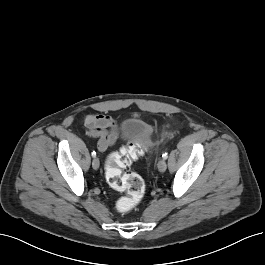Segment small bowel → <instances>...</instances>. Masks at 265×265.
Returning <instances> with one entry per match:
<instances>
[{
    "mask_svg": "<svg viewBox=\"0 0 265 265\" xmlns=\"http://www.w3.org/2000/svg\"><path fill=\"white\" fill-rule=\"evenodd\" d=\"M87 134L98 137V149L105 152L112 147L118 139V126L114 119L104 114H88L83 119Z\"/></svg>",
    "mask_w": 265,
    "mask_h": 265,
    "instance_id": "c3829d8e",
    "label": "small bowel"
}]
</instances>
